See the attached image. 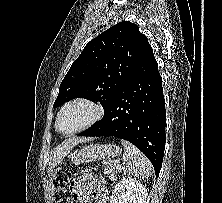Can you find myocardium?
<instances>
[{
  "instance_id": "f54148a6",
  "label": "myocardium",
  "mask_w": 222,
  "mask_h": 203,
  "mask_svg": "<svg viewBox=\"0 0 222 203\" xmlns=\"http://www.w3.org/2000/svg\"><path fill=\"white\" fill-rule=\"evenodd\" d=\"M76 104H82V105H86V106L90 107L93 111L92 117L86 123H84L83 125L79 126L78 128H76L72 131H68V132L61 131L59 128V119H60L62 113L68 107L76 105ZM103 115H104V109L99 103H97L89 98L77 97V98L69 100L61 107V109L59 110L57 117H56L55 128L59 133H61L63 135H73V134L79 133V132L93 126L103 117Z\"/></svg>"
}]
</instances>
